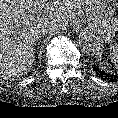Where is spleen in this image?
Instances as JSON below:
<instances>
[{
  "label": "spleen",
  "instance_id": "obj_1",
  "mask_svg": "<svg viewBox=\"0 0 118 118\" xmlns=\"http://www.w3.org/2000/svg\"><path fill=\"white\" fill-rule=\"evenodd\" d=\"M110 58L111 62L118 68V44L115 43L110 46Z\"/></svg>",
  "mask_w": 118,
  "mask_h": 118
}]
</instances>
